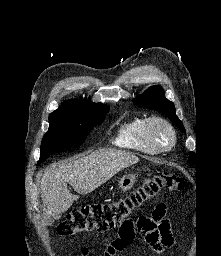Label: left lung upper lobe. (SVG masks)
Instances as JSON below:
<instances>
[{"label":"left lung upper lobe","mask_w":221,"mask_h":256,"mask_svg":"<svg viewBox=\"0 0 221 256\" xmlns=\"http://www.w3.org/2000/svg\"><path fill=\"white\" fill-rule=\"evenodd\" d=\"M133 102L138 106L157 110L166 115L182 132H185L182 122L176 116L173 102L165 98L164 90L161 86H151L142 95L133 99ZM188 162L194 164L193 155H190Z\"/></svg>","instance_id":"obj_1"}]
</instances>
